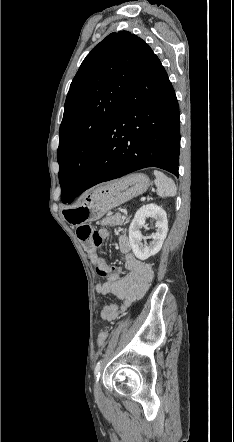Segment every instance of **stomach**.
<instances>
[{
    "instance_id": "obj_1",
    "label": "stomach",
    "mask_w": 234,
    "mask_h": 442,
    "mask_svg": "<svg viewBox=\"0 0 234 442\" xmlns=\"http://www.w3.org/2000/svg\"><path fill=\"white\" fill-rule=\"evenodd\" d=\"M149 185L147 175L134 173L99 186L88 192L79 204L64 210V218L73 226L96 221L112 208L143 194Z\"/></svg>"
}]
</instances>
